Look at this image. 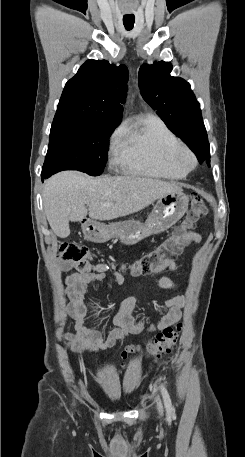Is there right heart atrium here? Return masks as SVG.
<instances>
[{
  "label": "right heart atrium",
  "instance_id": "d8ad5b80",
  "mask_svg": "<svg viewBox=\"0 0 245 457\" xmlns=\"http://www.w3.org/2000/svg\"><path fill=\"white\" fill-rule=\"evenodd\" d=\"M122 136V128L121 126L116 127L109 136V144L114 148L115 146L120 144Z\"/></svg>",
  "mask_w": 245,
  "mask_h": 457
}]
</instances>
